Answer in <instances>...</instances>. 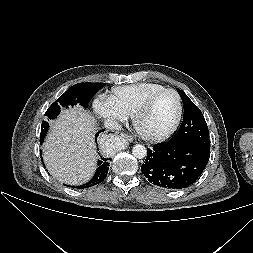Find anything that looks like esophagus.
I'll return each mask as SVG.
<instances>
[{"mask_svg":"<svg viewBox=\"0 0 253 253\" xmlns=\"http://www.w3.org/2000/svg\"><path fill=\"white\" fill-rule=\"evenodd\" d=\"M120 137H123V138H126V139H129V136L123 132L121 133H118Z\"/></svg>","mask_w":253,"mask_h":253,"instance_id":"esophagus-1","label":"esophagus"}]
</instances>
